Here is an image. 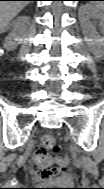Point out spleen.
Segmentation results:
<instances>
[{"mask_svg":"<svg viewBox=\"0 0 104 189\" xmlns=\"http://www.w3.org/2000/svg\"><path fill=\"white\" fill-rule=\"evenodd\" d=\"M97 8H103L102 2H92Z\"/></svg>","mask_w":104,"mask_h":189,"instance_id":"3e777b00","label":"spleen"}]
</instances>
